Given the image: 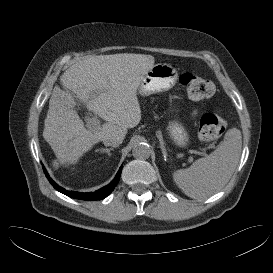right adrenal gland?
Instances as JSON below:
<instances>
[{
  "mask_svg": "<svg viewBox=\"0 0 273 273\" xmlns=\"http://www.w3.org/2000/svg\"><path fill=\"white\" fill-rule=\"evenodd\" d=\"M113 150H114V148H100V149H97L96 151L97 152L100 151V152H103V153L105 152V153H107L108 156H110L111 155L110 152L113 151Z\"/></svg>",
  "mask_w": 273,
  "mask_h": 273,
  "instance_id": "1",
  "label": "right adrenal gland"
}]
</instances>
